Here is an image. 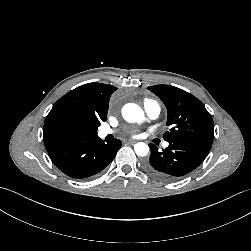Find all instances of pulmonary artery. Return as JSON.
I'll list each match as a JSON object with an SVG mask.
<instances>
[{
  "mask_svg": "<svg viewBox=\"0 0 251 251\" xmlns=\"http://www.w3.org/2000/svg\"><path fill=\"white\" fill-rule=\"evenodd\" d=\"M144 110L148 118L156 119L161 111L159 104L154 100H145L144 102ZM114 130L110 128H102L99 130L98 135L101 138L106 137L107 135L113 134ZM169 144L167 142L164 143V147H167Z\"/></svg>",
  "mask_w": 251,
  "mask_h": 251,
  "instance_id": "1",
  "label": "pulmonary artery"
}]
</instances>
